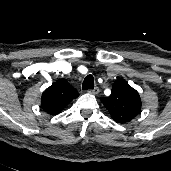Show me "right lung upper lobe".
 Listing matches in <instances>:
<instances>
[{"label":"right lung upper lobe","mask_w":171,"mask_h":171,"mask_svg":"<svg viewBox=\"0 0 171 171\" xmlns=\"http://www.w3.org/2000/svg\"><path fill=\"white\" fill-rule=\"evenodd\" d=\"M79 93L67 81L58 80L48 87L41 97L44 111L50 115L60 113Z\"/></svg>","instance_id":"obj_1"}]
</instances>
